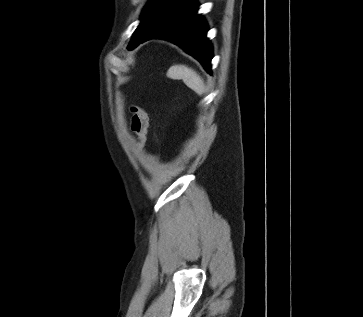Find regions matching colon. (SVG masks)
Here are the masks:
<instances>
[{
    "label": "colon",
    "mask_w": 363,
    "mask_h": 317,
    "mask_svg": "<svg viewBox=\"0 0 363 317\" xmlns=\"http://www.w3.org/2000/svg\"><path fill=\"white\" fill-rule=\"evenodd\" d=\"M131 129L137 137L139 145H143L146 139L148 117L146 111L137 105L131 107Z\"/></svg>",
    "instance_id": "5ec220e1"
}]
</instances>
